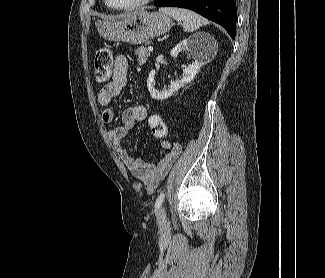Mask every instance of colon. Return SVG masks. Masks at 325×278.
Returning <instances> with one entry per match:
<instances>
[{"instance_id":"obj_1","label":"colon","mask_w":325,"mask_h":278,"mask_svg":"<svg viewBox=\"0 0 325 278\" xmlns=\"http://www.w3.org/2000/svg\"><path fill=\"white\" fill-rule=\"evenodd\" d=\"M113 69V56L109 48H101L97 51L94 59V76L98 83H104L111 77ZM148 126L152 134L157 138H165L167 125L164 119L153 114L148 118Z\"/></svg>"}]
</instances>
